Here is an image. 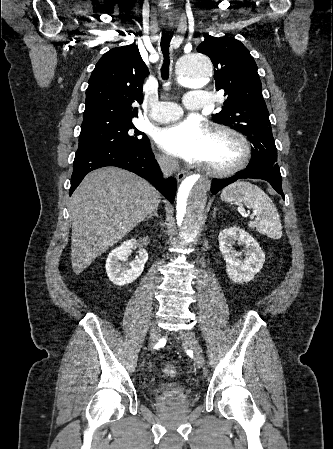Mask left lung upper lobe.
<instances>
[{"label": "left lung upper lobe", "instance_id": "5c2ea615", "mask_svg": "<svg viewBox=\"0 0 333 449\" xmlns=\"http://www.w3.org/2000/svg\"><path fill=\"white\" fill-rule=\"evenodd\" d=\"M197 51L210 57L215 67L216 88L224 90L227 97L222 110L212 116L213 120L248 137L253 145L248 166L279 168L257 65L248 49L235 38L206 34Z\"/></svg>", "mask_w": 333, "mask_h": 449}]
</instances>
